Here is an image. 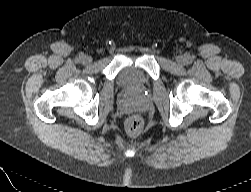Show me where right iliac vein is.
<instances>
[{
    "label": "right iliac vein",
    "instance_id": "1",
    "mask_svg": "<svg viewBox=\"0 0 251 192\" xmlns=\"http://www.w3.org/2000/svg\"><path fill=\"white\" fill-rule=\"evenodd\" d=\"M82 62L84 64H90L92 62V58L90 56H84Z\"/></svg>",
    "mask_w": 251,
    "mask_h": 192
}]
</instances>
